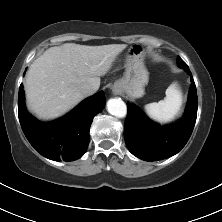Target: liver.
Here are the masks:
<instances>
[{"instance_id":"1","label":"liver","mask_w":222,"mask_h":222,"mask_svg":"<svg viewBox=\"0 0 222 222\" xmlns=\"http://www.w3.org/2000/svg\"><path fill=\"white\" fill-rule=\"evenodd\" d=\"M125 44L86 46L66 43L47 49L30 66L25 80L29 110L39 119H54L85 97L80 86L97 90Z\"/></svg>"}]
</instances>
